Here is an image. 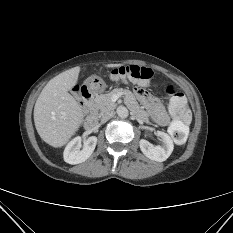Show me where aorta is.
Returning a JSON list of instances; mask_svg holds the SVG:
<instances>
[{
	"label": "aorta",
	"mask_w": 233,
	"mask_h": 233,
	"mask_svg": "<svg viewBox=\"0 0 233 233\" xmlns=\"http://www.w3.org/2000/svg\"><path fill=\"white\" fill-rule=\"evenodd\" d=\"M117 114H118V116L121 117V118H126V117L128 116V110H127V108L124 107V106H119V107L117 108Z\"/></svg>",
	"instance_id": "1"
}]
</instances>
